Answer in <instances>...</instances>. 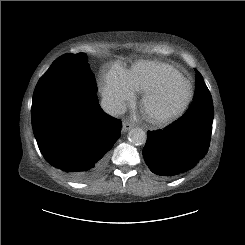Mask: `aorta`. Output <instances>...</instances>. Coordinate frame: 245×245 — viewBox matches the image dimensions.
Listing matches in <instances>:
<instances>
[{
    "mask_svg": "<svg viewBox=\"0 0 245 245\" xmlns=\"http://www.w3.org/2000/svg\"><path fill=\"white\" fill-rule=\"evenodd\" d=\"M129 141L134 145H143L147 141V135L141 128H133L128 133Z\"/></svg>",
    "mask_w": 245,
    "mask_h": 245,
    "instance_id": "aorta-1",
    "label": "aorta"
}]
</instances>
